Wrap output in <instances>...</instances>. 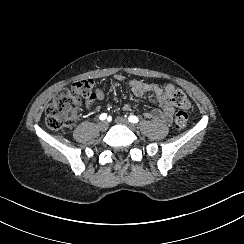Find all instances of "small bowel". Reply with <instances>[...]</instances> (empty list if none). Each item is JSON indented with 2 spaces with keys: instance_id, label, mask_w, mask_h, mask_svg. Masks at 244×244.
<instances>
[{
  "instance_id": "small-bowel-1",
  "label": "small bowel",
  "mask_w": 244,
  "mask_h": 244,
  "mask_svg": "<svg viewBox=\"0 0 244 244\" xmlns=\"http://www.w3.org/2000/svg\"><path fill=\"white\" fill-rule=\"evenodd\" d=\"M115 79L120 83L125 82V77L122 74H117ZM128 85L134 96H147L150 103L156 106L152 110L144 112V116L147 119L159 121L164 124H168L172 121L174 116V108L164 96L162 87L157 84L147 83L137 79L128 81ZM105 98V90L102 87H97L92 98H89L86 101V109L91 110L93 108V99L103 101ZM123 109L124 111L130 112L133 108L131 105L126 104Z\"/></svg>"
}]
</instances>
